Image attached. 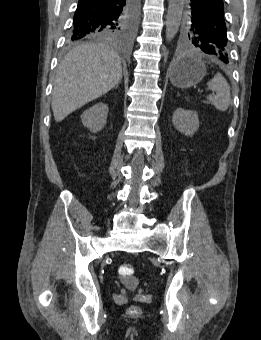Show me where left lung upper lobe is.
Listing matches in <instances>:
<instances>
[{"label": "left lung upper lobe", "mask_w": 261, "mask_h": 340, "mask_svg": "<svg viewBox=\"0 0 261 340\" xmlns=\"http://www.w3.org/2000/svg\"><path fill=\"white\" fill-rule=\"evenodd\" d=\"M184 15L180 42L185 48L197 47L206 54L228 62L229 45L224 14L208 17L193 15L187 0L183 3Z\"/></svg>", "instance_id": "obj_1"}]
</instances>
